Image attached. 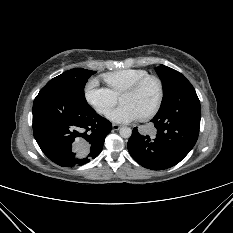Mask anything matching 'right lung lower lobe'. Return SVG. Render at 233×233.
<instances>
[{
    "label": "right lung lower lobe",
    "mask_w": 233,
    "mask_h": 233,
    "mask_svg": "<svg viewBox=\"0 0 233 233\" xmlns=\"http://www.w3.org/2000/svg\"><path fill=\"white\" fill-rule=\"evenodd\" d=\"M111 129L87 102L58 87H43L34 100V138L60 166L76 167L97 157Z\"/></svg>",
    "instance_id": "right-lung-lower-lobe-1"
}]
</instances>
